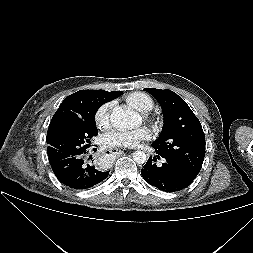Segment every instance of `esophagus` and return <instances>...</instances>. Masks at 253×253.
Instances as JSON below:
<instances>
[{"mask_svg": "<svg viewBox=\"0 0 253 253\" xmlns=\"http://www.w3.org/2000/svg\"><path fill=\"white\" fill-rule=\"evenodd\" d=\"M122 152L123 151L118 148H110L105 151L106 154H115V155H120V154H122Z\"/></svg>", "mask_w": 253, "mask_h": 253, "instance_id": "1", "label": "esophagus"}]
</instances>
